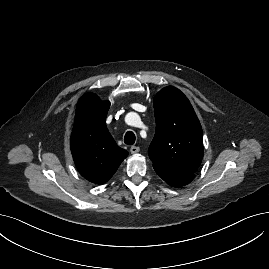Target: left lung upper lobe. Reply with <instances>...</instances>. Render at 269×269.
<instances>
[{
  "label": "left lung upper lobe",
  "mask_w": 269,
  "mask_h": 269,
  "mask_svg": "<svg viewBox=\"0 0 269 269\" xmlns=\"http://www.w3.org/2000/svg\"><path fill=\"white\" fill-rule=\"evenodd\" d=\"M156 132L148 153L153 167L194 174L203 158V133L188 98L168 86L154 98Z\"/></svg>",
  "instance_id": "1"
}]
</instances>
